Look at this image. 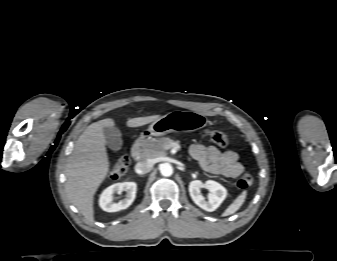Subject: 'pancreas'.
Returning a JSON list of instances; mask_svg holds the SVG:
<instances>
[{
    "mask_svg": "<svg viewBox=\"0 0 337 261\" xmlns=\"http://www.w3.org/2000/svg\"><path fill=\"white\" fill-rule=\"evenodd\" d=\"M170 143H179L173 139L162 137L158 139L144 140L140 142V156L142 158H154L166 155L167 146Z\"/></svg>",
    "mask_w": 337,
    "mask_h": 261,
    "instance_id": "cf45deb5",
    "label": "pancreas"
}]
</instances>
